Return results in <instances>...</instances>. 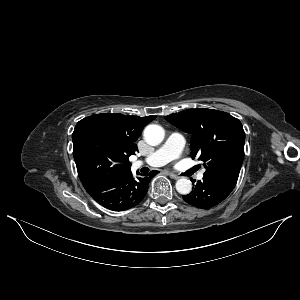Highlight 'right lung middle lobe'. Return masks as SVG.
<instances>
[{"instance_id":"1","label":"right lung middle lobe","mask_w":300,"mask_h":300,"mask_svg":"<svg viewBox=\"0 0 300 300\" xmlns=\"http://www.w3.org/2000/svg\"><path fill=\"white\" fill-rule=\"evenodd\" d=\"M73 156L79 178L83 183L114 178L130 171L129 159L100 125L84 118L72 134Z\"/></svg>"}]
</instances>
